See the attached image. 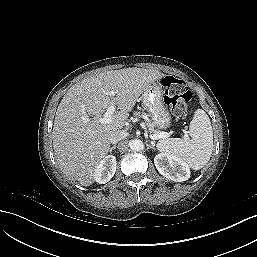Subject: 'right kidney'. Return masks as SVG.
Returning a JSON list of instances; mask_svg holds the SVG:
<instances>
[{"mask_svg":"<svg viewBox=\"0 0 257 257\" xmlns=\"http://www.w3.org/2000/svg\"><path fill=\"white\" fill-rule=\"evenodd\" d=\"M117 168L115 156L108 155L103 158L94 170V179L99 184H105L114 176Z\"/></svg>","mask_w":257,"mask_h":257,"instance_id":"obj_1","label":"right kidney"}]
</instances>
